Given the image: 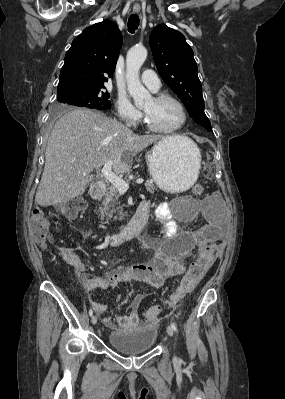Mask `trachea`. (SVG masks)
<instances>
[{
	"label": "trachea",
	"instance_id": "1",
	"mask_svg": "<svg viewBox=\"0 0 285 399\" xmlns=\"http://www.w3.org/2000/svg\"><path fill=\"white\" fill-rule=\"evenodd\" d=\"M138 26H139V16L137 14L131 15L128 20V31L130 33H134L135 30L138 28Z\"/></svg>",
	"mask_w": 285,
	"mask_h": 399
}]
</instances>
